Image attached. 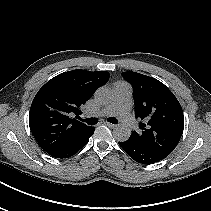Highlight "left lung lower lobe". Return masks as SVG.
Wrapping results in <instances>:
<instances>
[{
    "mask_svg": "<svg viewBox=\"0 0 211 211\" xmlns=\"http://www.w3.org/2000/svg\"><path fill=\"white\" fill-rule=\"evenodd\" d=\"M119 145L133 160L141 164H151L164 159L162 156L136 144L131 139L119 142Z\"/></svg>",
    "mask_w": 211,
    "mask_h": 211,
    "instance_id": "left-lung-lower-lobe-1",
    "label": "left lung lower lobe"
}]
</instances>
